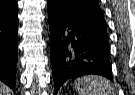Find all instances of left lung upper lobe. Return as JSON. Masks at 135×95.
I'll use <instances>...</instances> for the list:
<instances>
[{"label": "left lung upper lobe", "mask_w": 135, "mask_h": 95, "mask_svg": "<svg viewBox=\"0 0 135 95\" xmlns=\"http://www.w3.org/2000/svg\"><path fill=\"white\" fill-rule=\"evenodd\" d=\"M48 7L71 19L106 28L97 0H48Z\"/></svg>", "instance_id": "5c2ea615"}]
</instances>
